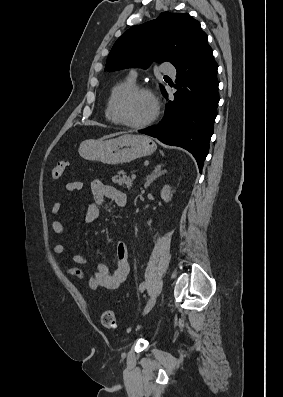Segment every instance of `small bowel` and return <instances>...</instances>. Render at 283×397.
Masks as SVG:
<instances>
[{"label": "small bowel", "instance_id": "obj_1", "mask_svg": "<svg viewBox=\"0 0 283 397\" xmlns=\"http://www.w3.org/2000/svg\"><path fill=\"white\" fill-rule=\"evenodd\" d=\"M83 186L84 185L81 181H70L66 184L65 188L68 192L73 193L81 191ZM91 192L92 200L85 213V221L90 224L99 219L100 207L104 205L106 201H111L120 208L125 207L127 203L125 193L113 186L104 185L99 180H94L91 183ZM61 208V203L59 201H55L52 205V214L57 217L61 212ZM51 227L57 236L62 237L65 234V227L59 219L55 218L52 221ZM64 250L65 246L62 242H57L53 246V253L56 255L62 254ZM115 254L116 264L112 270L108 265L100 263L97 265L95 273L88 277V286L92 290H97L99 288L113 290L118 288L126 279L130 267L128 261V250L125 243L121 241L116 243ZM73 261L76 266L66 268V274L77 279L84 278L86 276V272L83 267L88 264L87 257L77 254L74 255Z\"/></svg>", "mask_w": 283, "mask_h": 397}]
</instances>
